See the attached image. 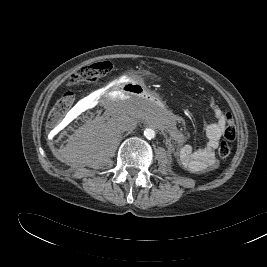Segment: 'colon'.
<instances>
[{"label":"colon","instance_id":"5ec220e1","mask_svg":"<svg viewBox=\"0 0 267 267\" xmlns=\"http://www.w3.org/2000/svg\"><path fill=\"white\" fill-rule=\"evenodd\" d=\"M110 68L111 63L107 61L97 62L91 65L83 66L71 75L69 79V85L75 86L85 82L96 81L100 79L104 74H106L110 70ZM73 102V91H66L51 110L48 117V123L50 125L58 124L65 116L67 111L71 108ZM235 137L236 129L231 119H229L224 132V138L226 139V141L221 142L218 148V155L221 158H227L230 155L231 147L227 143V141H232L235 139Z\"/></svg>","mask_w":267,"mask_h":267}]
</instances>
